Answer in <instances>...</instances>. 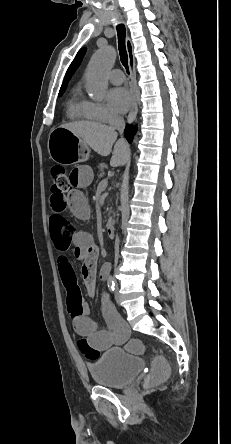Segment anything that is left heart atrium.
Here are the masks:
<instances>
[{
	"instance_id": "39dd6f15",
	"label": "left heart atrium",
	"mask_w": 231,
	"mask_h": 444,
	"mask_svg": "<svg viewBox=\"0 0 231 444\" xmlns=\"http://www.w3.org/2000/svg\"><path fill=\"white\" fill-rule=\"evenodd\" d=\"M108 101L113 110L123 113L130 108L132 95L126 88L117 87L109 91Z\"/></svg>"
}]
</instances>
